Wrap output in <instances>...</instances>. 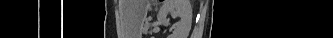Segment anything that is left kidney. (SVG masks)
<instances>
[{
    "label": "left kidney",
    "instance_id": "left-kidney-1",
    "mask_svg": "<svg viewBox=\"0 0 333 38\" xmlns=\"http://www.w3.org/2000/svg\"><path fill=\"white\" fill-rule=\"evenodd\" d=\"M180 17V20L173 25V32L170 38H187L192 23V8L189 0H164L160 7L157 20L164 26L170 25L168 16Z\"/></svg>",
    "mask_w": 333,
    "mask_h": 38
}]
</instances>
